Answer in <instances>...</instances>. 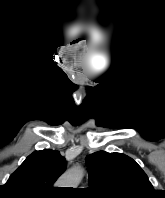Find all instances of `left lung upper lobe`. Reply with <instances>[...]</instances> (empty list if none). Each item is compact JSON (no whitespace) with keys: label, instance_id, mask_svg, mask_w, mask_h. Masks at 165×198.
Listing matches in <instances>:
<instances>
[{"label":"left lung upper lobe","instance_id":"obj_1","mask_svg":"<svg viewBox=\"0 0 165 198\" xmlns=\"http://www.w3.org/2000/svg\"><path fill=\"white\" fill-rule=\"evenodd\" d=\"M85 160L89 190L98 198H151L155 193L145 172L124 154L99 151Z\"/></svg>","mask_w":165,"mask_h":198}]
</instances>
